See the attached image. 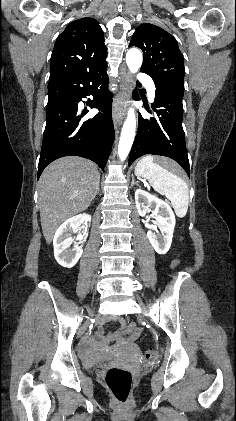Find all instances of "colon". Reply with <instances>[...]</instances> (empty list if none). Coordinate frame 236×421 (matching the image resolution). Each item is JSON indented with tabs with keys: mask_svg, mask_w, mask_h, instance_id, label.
<instances>
[{
	"mask_svg": "<svg viewBox=\"0 0 236 421\" xmlns=\"http://www.w3.org/2000/svg\"><path fill=\"white\" fill-rule=\"evenodd\" d=\"M156 354V350L151 348L146 350L145 357L151 359L154 358ZM105 383L113 396L119 402L124 403L127 401L133 385V375L127 369L112 367L106 372Z\"/></svg>",
	"mask_w": 236,
	"mask_h": 421,
	"instance_id": "colon-1",
	"label": "colon"
}]
</instances>
